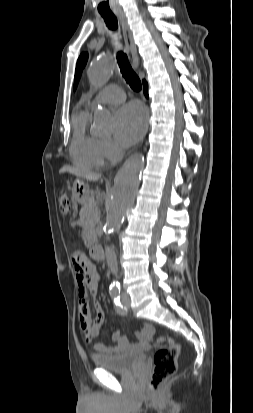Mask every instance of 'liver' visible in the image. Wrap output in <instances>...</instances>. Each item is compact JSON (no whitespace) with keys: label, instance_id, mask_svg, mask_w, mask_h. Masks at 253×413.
Returning <instances> with one entry per match:
<instances>
[{"label":"liver","instance_id":"6515ba94","mask_svg":"<svg viewBox=\"0 0 253 413\" xmlns=\"http://www.w3.org/2000/svg\"><path fill=\"white\" fill-rule=\"evenodd\" d=\"M65 172H69L77 177H82L89 181H97L101 178L100 174L86 172L72 166H63L59 171L60 174Z\"/></svg>","mask_w":253,"mask_h":413}]
</instances>
